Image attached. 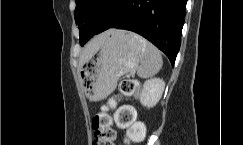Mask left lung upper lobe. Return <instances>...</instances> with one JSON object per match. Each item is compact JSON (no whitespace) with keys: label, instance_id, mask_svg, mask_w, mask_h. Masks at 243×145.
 I'll return each mask as SVG.
<instances>
[{"label":"left lung upper lobe","instance_id":"left-lung-upper-lobe-1","mask_svg":"<svg viewBox=\"0 0 243 145\" xmlns=\"http://www.w3.org/2000/svg\"><path fill=\"white\" fill-rule=\"evenodd\" d=\"M124 0H75L76 8L74 11L75 22L80 30V44L89 37L91 32L87 22L93 15L113 14L121 6Z\"/></svg>","mask_w":243,"mask_h":145}]
</instances>
